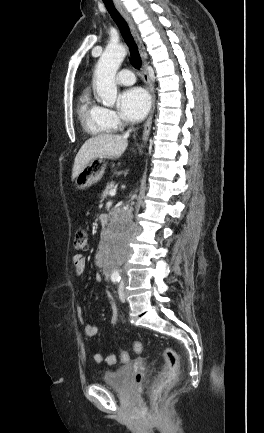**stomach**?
<instances>
[{
	"label": "stomach",
	"mask_w": 264,
	"mask_h": 433,
	"mask_svg": "<svg viewBox=\"0 0 264 433\" xmlns=\"http://www.w3.org/2000/svg\"><path fill=\"white\" fill-rule=\"evenodd\" d=\"M106 164L102 159L95 158L87 163L76 177L78 189H85L99 182L103 177Z\"/></svg>",
	"instance_id": "obj_1"
}]
</instances>
